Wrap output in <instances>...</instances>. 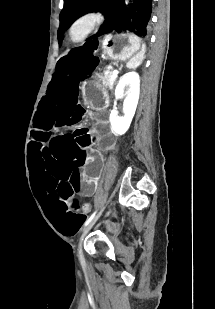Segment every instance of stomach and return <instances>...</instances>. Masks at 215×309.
Listing matches in <instances>:
<instances>
[{
	"instance_id": "0dacf381",
	"label": "stomach",
	"mask_w": 215,
	"mask_h": 309,
	"mask_svg": "<svg viewBox=\"0 0 215 309\" xmlns=\"http://www.w3.org/2000/svg\"><path fill=\"white\" fill-rule=\"evenodd\" d=\"M141 43V39L131 33L117 32L108 34L101 41L103 56L116 62L128 60L141 50ZM83 91L91 102H102L106 97L102 76L96 74L90 80L85 81Z\"/></svg>"
}]
</instances>
